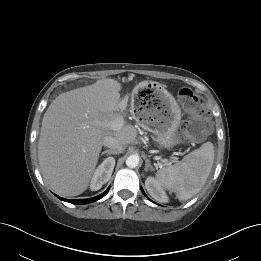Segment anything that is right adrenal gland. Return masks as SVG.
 Listing matches in <instances>:
<instances>
[{"instance_id": "2a0ac1e0", "label": "right adrenal gland", "mask_w": 261, "mask_h": 261, "mask_svg": "<svg viewBox=\"0 0 261 261\" xmlns=\"http://www.w3.org/2000/svg\"><path fill=\"white\" fill-rule=\"evenodd\" d=\"M104 154L112 155V154H115V153L112 152L111 150L107 149V150H105V151H103V152L101 153V155H104Z\"/></svg>"}]
</instances>
